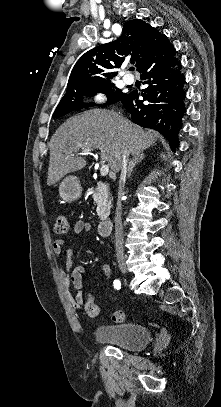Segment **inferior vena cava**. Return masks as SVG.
<instances>
[{
	"instance_id": "602c4592",
	"label": "inferior vena cava",
	"mask_w": 221,
	"mask_h": 407,
	"mask_svg": "<svg viewBox=\"0 0 221 407\" xmlns=\"http://www.w3.org/2000/svg\"><path fill=\"white\" fill-rule=\"evenodd\" d=\"M129 151L125 149L120 162V181H119V199L123 195V184L127 174ZM115 247L116 257L118 262H124V248H123V226H122V207L121 201L118 200L116 214H115Z\"/></svg>"
}]
</instances>
